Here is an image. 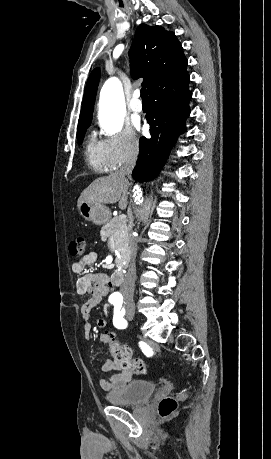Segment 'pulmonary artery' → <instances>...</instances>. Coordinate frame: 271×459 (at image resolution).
<instances>
[{"label":"pulmonary artery","mask_w":271,"mask_h":459,"mask_svg":"<svg viewBox=\"0 0 271 459\" xmlns=\"http://www.w3.org/2000/svg\"><path fill=\"white\" fill-rule=\"evenodd\" d=\"M129 108L135 114H138V113L142 112L143 104H142V101L140 99V91L139 90L135 91L134 98L130 102Z\"/></svg>","instance_id":"e3ab8cb5"}]
</instances>
